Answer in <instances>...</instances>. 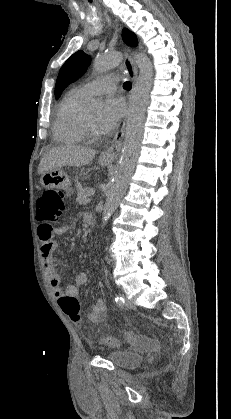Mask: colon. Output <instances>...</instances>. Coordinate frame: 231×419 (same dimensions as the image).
<instances>
[{
    "label": "colon",
    "mask_w": 231,
    "mask_h": 419,
    "mask_svg": "<svg viewBox=\"0 0 231 419\" xmlns=\"http://www.w3.org/2000/svg\"><path fill=\"white\" fill-rule=\"evenodd\" d=\"M63 193L57 189H48L37 200L36 215L43 222H57L64 214ZM62 311L77 325H80V305L75 297L64 295L58 300ZM104 343L110 346L119 345L115 338H105Z\"/></svg>",
    "instance_id": "5ec220e1"
}]
</instances>
